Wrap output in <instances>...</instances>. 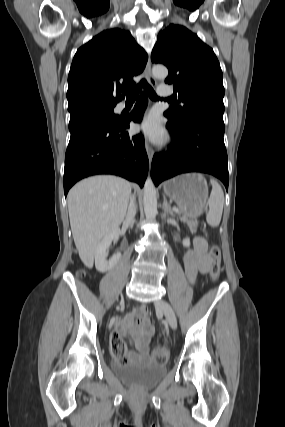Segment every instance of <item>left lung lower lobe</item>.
I'll use <instances>...</instances> for the list:
<instances>
[{
    "instance_id": "1",
    "label": "left lung lower lobe",
    "mask_w": 285,
    "mask_h": 427,
    "mask_svg": "<svg viewBox=\"0 0 285 427\" xmlns=\"http://www.w3.org/2000/svg\"><path fill=\"white\" fill-rule=\"evenodd\" d=\"M169 119L172 133L169 151L156 154L152 160L151 176L158 185L165 179L187 172L209 173L219 178L228 190V158L223 140L224 122L212 116H200L177 124Z\"/></svg>"
}]
</instances>
